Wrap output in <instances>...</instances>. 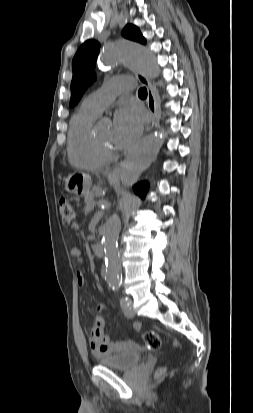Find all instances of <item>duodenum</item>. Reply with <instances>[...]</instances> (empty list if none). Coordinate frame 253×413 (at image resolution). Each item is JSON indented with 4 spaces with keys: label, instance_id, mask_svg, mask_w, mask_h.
Listing matches in <instances>:
<instances>
[{
    "label": "duodenum",
    "instance_id": "410a0bca",
    "mask_svg": "<svg viewBox=\"0 0 253 413\" xmlns=\"http://www.w3.org/2000/svg\"><path fill=\"white\" fill-rule=\"evenodd\" d=\"M93 252L97 257L104 256V247L100 243H96L93 245Z\"/></svg>",
    "mask_w": 253,
    "mask_h": 413
}]
</instances>
